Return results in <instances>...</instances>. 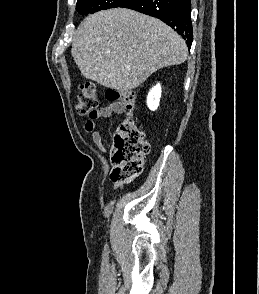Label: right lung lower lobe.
<instances>
[{
  "label": "right lung lower lobe",
  "mask_w": 259,
  "mask_h": 294,
  "mask_svg": "<svg viewBox=\"0 0 259 294\" xmlns=\"http://www.w3.org/2000/svg\"><path fill=\"white\" fill-rule=\"evenodd\" d=\"M119 7L159 18L180 34L190 49L193 41L190 0H128Z\"/></svg>",
  "instance_id": "obj_1"
}]
</instances>
